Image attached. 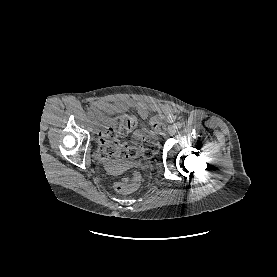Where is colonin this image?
<instances>
[{"label": "colon", "mask_w": 277, "mask_h": 277, "mask_svg": "<svg viewBox=\"0 0 277 277\" xmlns=\"http://www.w3.org/2000/svg\"><path fill=\"white\" fill-rule=\"evenodd\" d=\"M137 118L134 115L125 114L112 119L110 126L100 133L99 154L102 158L112 161H129L136 159L139 154L144 157H151L158 150V143L152 136H145L141 150L128 146L119 141V137L125 136L137 127ZM157 130L162 127L156 124ZM140 186V177L137 174L125 176L114 184V188L119 193H131Z\"/></svg>", "instance_id": "5ec220e1"}]
</instances>
